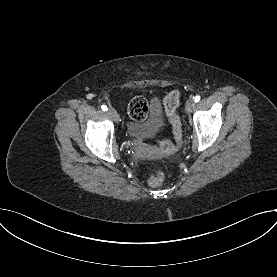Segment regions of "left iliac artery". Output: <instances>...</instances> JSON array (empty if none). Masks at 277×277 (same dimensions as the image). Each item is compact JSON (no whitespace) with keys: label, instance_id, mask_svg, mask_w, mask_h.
<instances>
[{"label":"left iliac artery","instance_id":"left-iliac-artery-1","mask_svg":"<svg viewBox=\"0 0 277 277\" xmlns=\"http://www.w3.org/2000/svg\"><path fill=\"white\" fill-rule=\"evenodd\" d=\"M199 100H200V96L197 95V96L195 97L194 101H195V102H198Z\"/></svg>","mask_w":277,"mask_h":277}]
</instances>
